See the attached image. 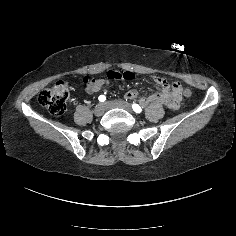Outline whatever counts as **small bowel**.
<instances>
[{"label": "small bowel", "mask_w": 236, "mask_h": 236, "mask_svg": "<svg viewBox=\"0 0 236 236\" xmlns=\"http://www.w3.org/2000/svg\"><path fill=\"white\" fill-rule=\"evenodd\" d=\"M155 81L159 84H165L166 82L161 78H155ZM107 84V81L104 79H96L92 80L86 87V91L88 93H95L101 90L105 85ZM137 96L136 90H130L127 92L128 98H135Z\"/></svg>", "instance_id": "obj_1"}]
</instances>
